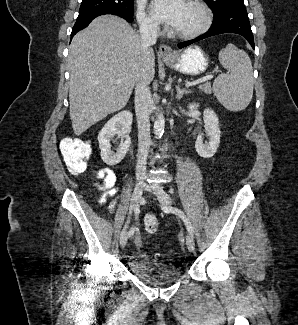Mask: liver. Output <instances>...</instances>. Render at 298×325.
Wrapping results in <instances>:
<instances>
[{"mask_svg":"<svg viewBox=\"0 0 298 325\" xmlns=\"http://www.w3.org/2000/svg\"><path fill=\"white\" fill-rule=\"evenodd\" d=\"M68 66L70 118L79 136L107 114L124 108L139 78L152 82L155 52L150 46L143 54L140 34L124 18L102 14L73 36Z\"/></svg>","mask_w":298,"mask_h":325,"instance_id":"liver-1","label":"liver"}]
</instances>
